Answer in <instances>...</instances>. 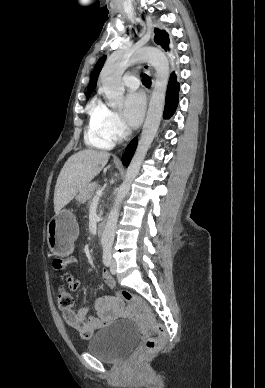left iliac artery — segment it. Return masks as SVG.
Wrapping results in <instances>:
<instances>
[{"label":"left iliac artery","mask_w":265,"mask_h":388,"mask_svg":"<svg viewBox=\"0 0 265 388\" xmlns=\"http://www.w3.org/2000/svg\"><path fill=\"white\" fill-rule=\"evenodd\" d=\"M111 249V245L106 244L103 246V263L106 266H109L111 262Z\"/></svg>","instance_id":"1"}]
</instances>
